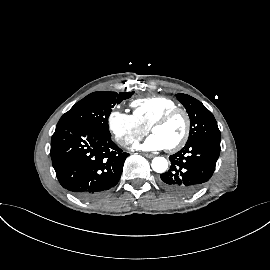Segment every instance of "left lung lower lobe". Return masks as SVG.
<instances>
[{
	"mask_svg": "<svg viewBox=\"0 0 270 270\" xmlns=\"http://www.w3.org/2000/svg\"><path fill=\"white\" fill-rule=\"evenodd\" d=\"M220 154V139L200 138L169 157L170 169L160 175V185L178 195H190L211 178Z\"/></svg>",
	"mask_w": 270,
	"mask_h": 270,
	"instance_id": "obj_1",
	"label": "left lung lower lobe"
}]
</instances>
